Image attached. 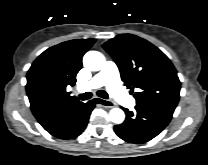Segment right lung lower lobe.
<instances>
[{"label":"right lung lower lobe","mask_w":208,"mask_h":165,"mask_svg":"<svg viewBox=\"0 0 208 165\" xmlns=\"http://www.w3.org/2000/svg\"><path fill=\"white\" fill-rule=\"evenodd\" d=\"M94 107L95 103L92 100L83 103L79 108L68 113L50 127L45 128V130L51 135L63 140L74 139L86 128L89 116Z\"/></svg>","instance_id":"98d812e1"}]
</instances>
